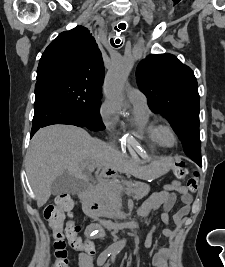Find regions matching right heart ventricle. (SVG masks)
I'll use <instances>...</instances> for the list:
<instances>
[{
	"label": "right heart ventricle",
	"instance_id": "e07e8e85",
	"mask_svg": "<svg viewBox=\"0 0 225 267\" xmlns=\"http://www.w3.org/2000/svg\"><path fill=\"white\" fill-rule=\"evenodd\" d=\"M131 109L127 114L131 127L149 142L161 145L158 138V121L153 116L145 99H130Z\"/></svg>",
	"mask_w": 225,
	"mask_h": 267
}]
</instances>
